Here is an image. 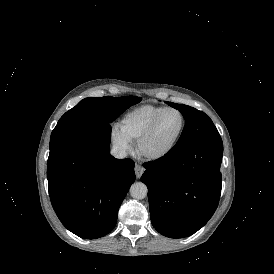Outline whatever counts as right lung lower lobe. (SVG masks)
Returning a JSON list of instances; mask_svg holds the SVG:
<instances>
[{
  "instance_id": "1",
  "label": "right lung lower lobe",
  "mask_w": 274,
  "mask_h": 274,
  "mask_svg": "<svg viewBox=\"0 0 274 274\" xmlns=\"http://www.w3.org/2000/svg\"><path fill=\"white\" fill-rule=\"evenodd\" d=\"M110 124L93 127L50 150L47 178L63 225L85 239L108 234L135 181L134 162L110 155Z\"/></svg>"
}]
</instances>
